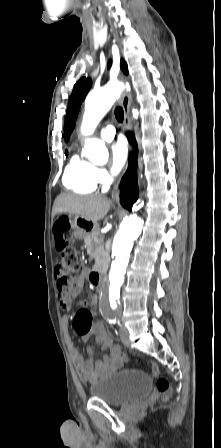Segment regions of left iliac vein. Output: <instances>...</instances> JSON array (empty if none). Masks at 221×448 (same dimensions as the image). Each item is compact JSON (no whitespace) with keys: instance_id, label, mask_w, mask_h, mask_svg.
I'll use <instances>...</instances> for the list:
<instances>
[{"instance_id":"obj_1","label":"left iliac vein","mask_w":221,"mask_h":448,"mask_svg":"<svg viewBox=\"0 0 221 448\" xmlns=\"http://www.w3.org/2000/svg\"><path fill=\"white\" fill-rule=\"evenodd\" d=\"M120 338L121 342L126 346H130V339H129V333L125 326L120 327Z\"/></svg>"}]
</instances>
